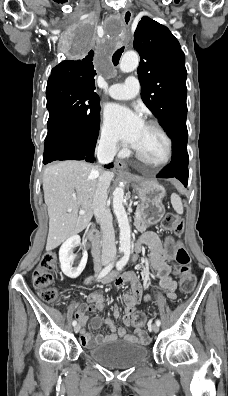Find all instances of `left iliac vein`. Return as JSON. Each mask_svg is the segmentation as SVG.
<instances>
[{
    "mask_svg": "<svg viewBox=\"0 0 228 396\" xmlns=\"http://www.w3.org/2000/svg\"><path fill=\"white\" fill-rule=\"evenodd\" d=\"M152 330L154 333H158L159 332V326L157 324H153L152 325Z\"/></svg>",
    "mask_w": 228,
    "mask_h": 396,
    "instance_id": "obj_1",
    "label": "left iliac vein"
}]
</instances>
